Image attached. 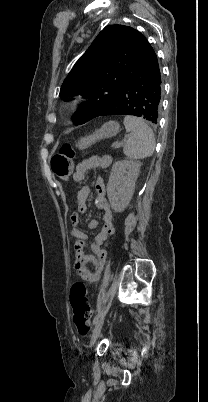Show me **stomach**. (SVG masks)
<instances>
[{
  "label": "stomach",
  "mask_w": 208,
  "mask_h": 402,
  "mask_svg": "<svg viewBox=\"0 0 208 402\" xmlns=\"http://www.w3.org/2000/svg\"><path fill=\"white\" fill-rule=\"evenodd\" d=\"M120 130V126L118 122H107V124H103L100 130L91 134V136H86V138H81L79 142L76 144V148L79 150H85L88 146H92L98 140H103V138H112V136H116Z\"/></svg>",
  "instance_id": "0dacf381"
}]
</instances>
